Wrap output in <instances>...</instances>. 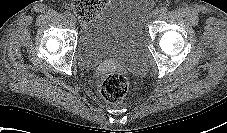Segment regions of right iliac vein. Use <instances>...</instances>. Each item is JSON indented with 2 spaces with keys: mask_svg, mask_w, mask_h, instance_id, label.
<instances>
[{
  "mask_svg": "<svg viewBox=\"0 0 227 133\" xmlns=\"http://www.w3.org/2000/svg\"><path fill=\"white\" fill-rule=\"evenodd\" d=\"M70 20H71L73 23L76 22V18H75L73 15L70 16Z\"/></svg>",
  "mask_w": 227,
  "mask_h": 133,
  "instance_id": "right-iliac-vein-1",
  "label": "right iliac vein"
}]
</instances>
